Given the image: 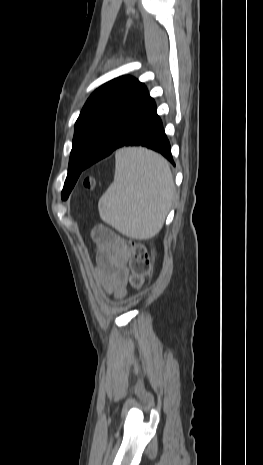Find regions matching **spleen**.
I'll return each mask as SVG.
<instances>
[{
  "label": "spleen",
  "instance_id": "1",
  "mask_svg": "<svg viewBox=\"0 0 263 465\" xmlns=\"http://www.w3.org/2000/svg\"><path fill=\"white\" fill-rule=\"evenodd\" d=\"M114 181L98 202L101 219L134 239H149L162 228L174 193L168 162L143 148L116 152Z\"/></svg>",
  "mask_w": 263,
  "mask_h": 465
}]
</instances>
